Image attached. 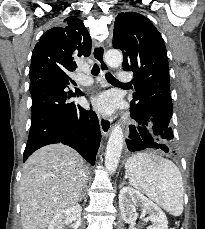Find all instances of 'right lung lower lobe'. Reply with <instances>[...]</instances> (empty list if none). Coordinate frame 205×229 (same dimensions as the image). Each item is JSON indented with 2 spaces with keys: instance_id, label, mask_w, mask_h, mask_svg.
I'll use <instances>...</instances> for the list:
<instances>
[{
  "instance_id": "98d812e1",
  "label": "right lung lower lobe",
  "mask_w": 205,
  "mask_h": 229,
  "mask_svg": "<svg viewBox=\"0 0 205 229\" xmlns=\"http://www.w3.org/2000/svg\"><path fill=\"white\" fill-rule=\"evenodd\" d=\"M67 86L54 77L30 84L32 119L23 161L40 147L61 142L77 150L90 164L95 163L101 140L98 118L92 110L68 102L83 93L68 91Z\"/></svg>"
}]
</instances>
